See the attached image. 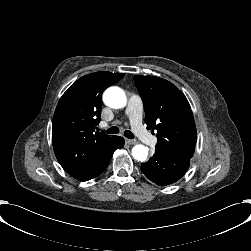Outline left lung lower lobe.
<instances>
[{"instance_id": "1", "label": "left lung lower lobe", "mask_w": 251, "mask_h": 251, "mask_svg": "<svg viewBox=\"0 0 251 251\" xmlns=\"http://www.w3.org/2000/svg\"><path fill=\"white\" fill-rule=\"evenodd\" d=\"M190 159L156 150L153 157L141 164V171L152 182L165 186L178 181L188 170Z\"/></svg>"}]
</instances>
